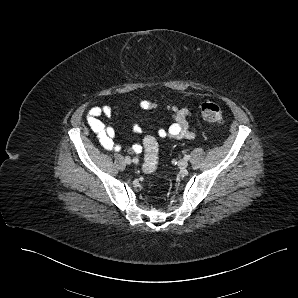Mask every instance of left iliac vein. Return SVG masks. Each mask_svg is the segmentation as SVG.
Segmentation results:
<instances>
[{"label": "left iliac vein", "instance_id": "4c4485c4", "mask_svg": "<svg viewBox=\"0 0 298 298\" xmlns=\"http://www.w3.org/2000/svg\"><path fill=\"white\" fill-rule=\"evenodd\" d=\"M178 166H179L180 169H186L188 167L187 160H185V159L184 160H180L178 162Z\"/></svg>", "mask_w": 298, "mask_h": 298}]
</instances>
